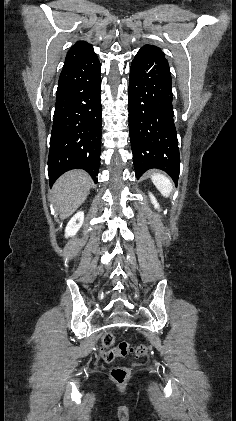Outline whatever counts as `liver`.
<instances>
[{
    "mask_svg": "<svg viewBox=\"0 0 236 421\" xmlns=\"http://www.w3.org/2000/svg\"><path fill=\"white\" fill-rule=\"evenodd\" d=\"M94 182L85 170H69L56 180L52 192L60 213V219H67L86 200Z\"/></svg>",
    "mask_w": 236,
    "mask_h": 421,
    "instance_id": "liver-1",
    "label": "liver"
}]
</instances>
